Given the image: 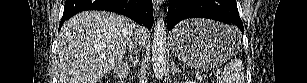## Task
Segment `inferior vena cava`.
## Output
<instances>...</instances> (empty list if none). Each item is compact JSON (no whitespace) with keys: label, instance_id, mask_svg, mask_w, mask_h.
I'll use <instances>...</instances> for the list:
<instances>
[{"label":"inferior vena cava","instance_id":"obj_1","mask_svg":"<svg viewBox=\"0 0 307 83\" xmlns=\"http://www.w3.org/2000/svg\"><path fill=\"white\" fill-rule=\"evenodd\" d=\"M132 26L134 28L138 27L134 22L132 23ZM133 40H134V42H133ZM133 40H131V42L128 45V51L130 53V57H132V55H136V58H137L138 50H137L136 44H137L138 39H137L136 35L133 38Z\"/></svg>","mask_w":307,"mask_h":83}]
</instances>
